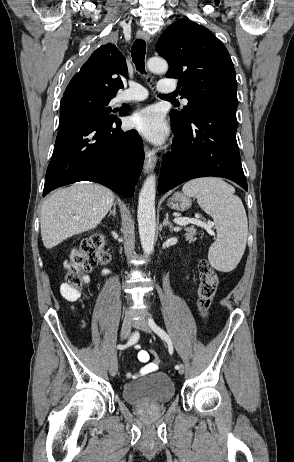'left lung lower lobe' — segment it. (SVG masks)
<instances>
[{"instance_id":"0a47b994","label":"left lung lower lobe","mask_w":294,"mask_h":462,"mask_svg":"<svg viewBox=\"0 0 294 462\" xmlns=\"http://www.w3.org/2000/svg\"><path fill=\"white\" fill-rule=\"evenodd\" d=\"M237 105L217 103L205 107L189 123L171 120L173 149L163 157L158 183L160 194L198 177L230 179L247 191L237 141Z\"/></svg>"}]
</instances>
